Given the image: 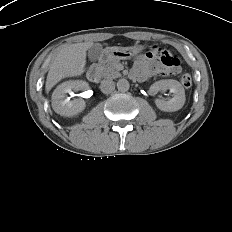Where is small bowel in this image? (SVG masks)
Masks as SVG:
<instances>
[{
    "instance_id": "small-bowel-1",
    "label": "small bowel",
    "mask_w": 232,
    "mask_h": 232,
    "mask_svg": "<svg viewBox=\"0 0 232 232\" xmlns=\"http://www.w3.org/2000/svg\"><path fill=\"white\" fill-rule=\"evenodd\" d=\"M154 74L164 78L167 76L168 71L161 65L155 66L154 62L147 56L142 55L135 60L134 68L132 70L133 77L145 80Z\"/></svg>"
}]
</instances>
